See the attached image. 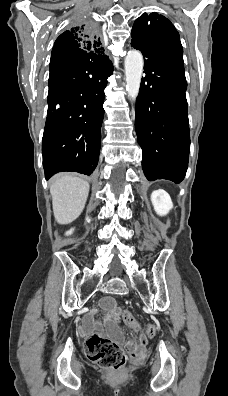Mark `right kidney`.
I'll return each instance as SVG.
<instances>
[{
    "label": "right kidney",
    "instance_id": "ca27d5eb",
    "mask_svg": "<svg viewBox=\"0 0 228 396\" xmlns=\"http://www.w3.org/2000/svg\"><path fill=\"white\" fill-rule=\"evenodd\" d=\"M72 232H73V229L67 231V232H66V235H70V234H72Z\"/></svg>",
    "mask_w": 228,
    "mask_h": 396
}]
</instances>
